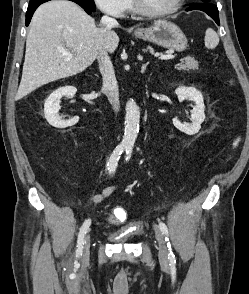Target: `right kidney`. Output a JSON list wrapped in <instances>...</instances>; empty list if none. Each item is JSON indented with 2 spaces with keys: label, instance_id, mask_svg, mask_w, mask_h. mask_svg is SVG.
Returning a JSON list of instances; mask_svg holds the SVG:
<instances>
[{
  "label": "right kidney",
  "instance_id": "right-kidney-1",
  "mask_svg": "<svg viewBox=\"0 0 249 294\" xmlns=\"http://www.w3.org/2000/svg\"><path fill=\"white\" fill-rule=\"evenodd\" d=\"M77 89L73 86H65L58 88L50 94L44 104V114L47 122L56 128H66L75 125L79 121V117H73L69 120H63L59 116L60 102L63 96H73Z\"/></svg>",
  "mask_w": 249,
  "mask_h": 294
}]
</instances>
